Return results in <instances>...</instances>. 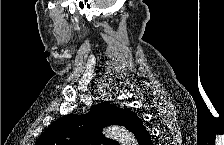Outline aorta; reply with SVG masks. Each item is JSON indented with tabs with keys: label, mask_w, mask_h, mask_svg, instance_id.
I'll return each instance as SVG.
<instances>
[{
	"label": "aorta",
	"mask_w": 224,
	"mask_h": 145,
	"mask_svg": "<svg viewBox=\"0 0 224 145\" xmlns=\"http://www.w3.org/2000/svg\"><path fill=\"white\" fill-rule=\"evenodd\" d=\"M105 136L116 140L122 145H136V139L126 128L121 126H110L105 130Z\"/></svg>",
	"instance_id": "1"
}]
</instances>
